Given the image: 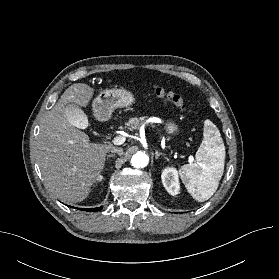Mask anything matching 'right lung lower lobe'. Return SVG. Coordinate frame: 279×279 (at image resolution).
Masks as SVG:
<instances>
[{"label":"right lung lower lobe","instance_id":"obj_1","mask_svg":"<svg viewBox=\"0 0 279 279\" xmlns=\"http://www.w3.org/2000/svg\"><path fill=\"white\" fill-rule=\"evenodd\" d=\"M102 207H98V208H94V209H83L84 211H99L101 210ZM79 210H82V209H79Z\"/></svg>","mask_w":279,"mask_h":279}]
</instances>
